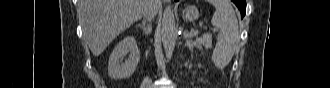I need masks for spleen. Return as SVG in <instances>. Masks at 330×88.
I'll use <instances>...</instances> for the list:
<instances>
[{"instance_id":"spleen-1","label":"spleen","mask_w":330,"mask_h":88,"mask_svg":"<svg viewBox=\"0 0 330 88\" xmlns=\"http://www.w3.org/2000/svg\"><path fill=\"white\" fill-rule=\"evenodd\" d=\"M215 7L211 23L220 31L212 60L216 67L224 68L231 61L239 43L238 21L229 0H209Z\"/></svg>"}]
</instances>
